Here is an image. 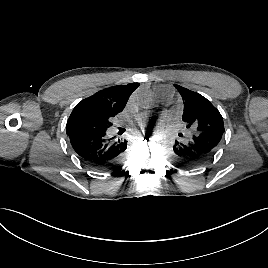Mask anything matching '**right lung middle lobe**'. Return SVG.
Segmentation results:
<instances>
[{
    "label": "right lung middle lobe",
    "mask_w": 268,
    "mask_h": 268,
    "mask_svg": "<svg viewBox=\"0 0 268 268\" xmlns=\"http://www.w3.org/2000/svg\"><path fill=\"white\" fill-rule=\"evenodd\" d=\"M114 114L89 110L72 111L66 125V133L97 134L106 132L112 125Z\"/></svg>",
    "instance_id": "obj_1"
}]
</instances>
